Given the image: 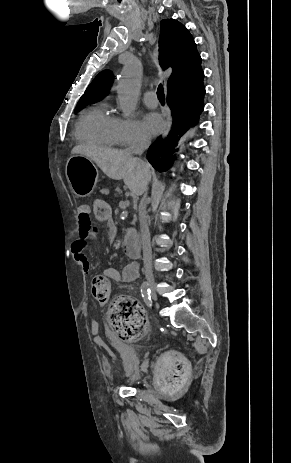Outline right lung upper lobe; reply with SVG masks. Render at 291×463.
I'll return each mask as SVG.
<instances>
[{
    "instance_id": "right-lung-upper-lobe-1",
    "label": "right lung upper lobe",
    "mask_w": 291,
    "mask_h": 463,
    "mask_svg": "<svg viewBox=\"0 0 291 463\" xmlns=\"http://www.w3.org/2000/svg\"><path fill=\"white\" fill-rule=\"evenodd\" d=\"M160 25L159 64L162 69L172 68L167 90L194 86L199 81L202 67L192 35L186 27L173 19L162 20ZM112 82L113 75L110 71L100 72L81 96L78 104L94 102L106 96Z\"/></svg>"
}]
</instances>
